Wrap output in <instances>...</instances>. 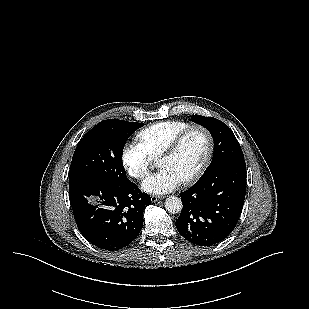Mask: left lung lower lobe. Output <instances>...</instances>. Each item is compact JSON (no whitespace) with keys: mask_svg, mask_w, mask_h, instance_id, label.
Instances as JSON below:
<instances>
[{"mask_svg":"<svg viewBox=\"0 0 309 309\" xmlns=\"http://www.w3.org/2000/svg\"><path fill=\"white\" fill-rule=\"evenodd\" d=\"M246 190L244 158L225 162L205 172L181 192L183 209L176 221L178 232L200 246L215 245L235 228Z\"/></svg>","mask_w":309,"mask_h":309,"instance_id":"left-lung-lower-lobe-1","label":"left lung lower lobe"}]
</instances>
